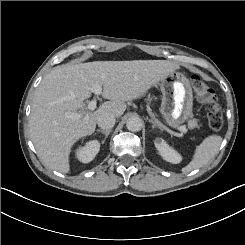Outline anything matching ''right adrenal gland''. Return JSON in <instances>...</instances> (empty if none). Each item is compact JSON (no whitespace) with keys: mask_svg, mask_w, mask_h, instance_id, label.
Masks as SVG:
<instances>
[{"mask_svg":"<svg viewBox=\"0 0 245 245\" xmlns=\"http://www.w3.org/2000/svg\"><path fill=\"white\" fill-rule=\"evenodd\" d=\"M97 132H101L102 134L105 135V139L108 137V135L110 134L111 132V129H108V130H100L98 129Z\"/></svg>","mask_w":245,"mask_h":245,"instance_id":"obj_1","label":"right adrenal gland"}]
</instances>
